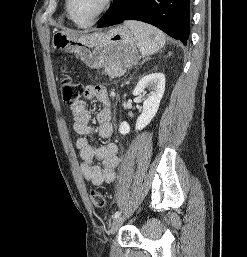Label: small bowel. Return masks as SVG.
Returning <instances> with one entry per match:
<instances>
[{
	"instance_id": "small-bowel-1",
	"label": "small bowel",
	"mask_w": 247,
	"mask_h": 257,
	"mask_svg": "<svg viewBox=\"0 0 247 257\" xmlns=\"http://www.w3.org/2000/svg\"><path fill=\"white\" fill-rule=\"evenodd\" d=\"M97 99L102 107L96 114L98 122L97 133L102 139L113 135L112 106L107 90L103 86H87L83 90V98L71 104L72 123L74 131L79 135L75 147L81 159L80 169L85 180L94 186L112 183L115 179V169L119 164L118 146L109 142L104 146H93L89 138L95 133L91 125L92 116L87 108V101ZM99 160L101 165H95Z\"/></svg>"
}]
</instances>
